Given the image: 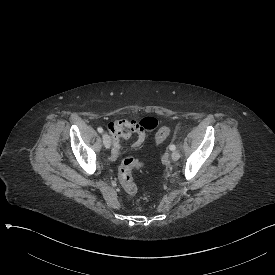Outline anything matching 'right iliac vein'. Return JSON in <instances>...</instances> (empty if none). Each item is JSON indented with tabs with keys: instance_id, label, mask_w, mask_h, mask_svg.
<instances>
[{
	"instance_id": "63e3f726",
	"label": "right iliac vein",
	"mask_w": 275,
	"mask_h": 275,
	"mask_svg": "<svg viewBox=\"0 0 275 275\" xmlns=\"http://www.w3.org/2000/svg\"><path fill=\"white\" fill-rule=\"evenodd\" d=\"M103 144L106 149H109L111 147V138L107 133H104L103 136Z\"/></svg>"
}]
</instances>
